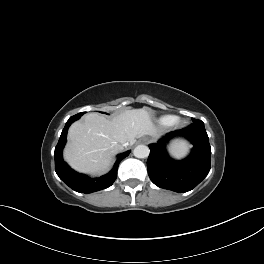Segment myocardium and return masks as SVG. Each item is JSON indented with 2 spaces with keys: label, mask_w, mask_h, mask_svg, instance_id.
I'll return each instance as SVG.
<instances>
[{
  "label": "myocardium",
  "mask_w": 264,
  "mask_h": 264,
  "mask_svg": "<svg viewBox=\"0 0 264 264\" xmlns=\"http://www.w3.org/2000/svg\"><path fill=\"white\" fill-rule=\"evenodd\" d=\"M183 121H181V120H178L177 122H176V124H181Z\"/></svg>",
  "instance_id": "1"
}]
</instances>
